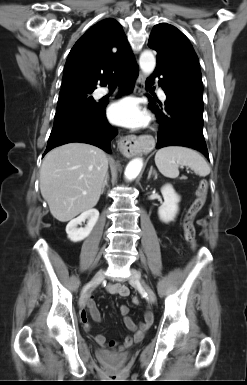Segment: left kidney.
I'll return each mask as SVG.
<instances>
[{
  "label": "left kidney",
  "mask_w": 247,
  "mask_h": 385,
  "mask_svg": "<svg viewBox=\"0 0 247 385\" xmlns=\"http://www.w3.org/2000/svg\"><path fill=\"white\" fill-rule=\"evenodd\" d=\"M161 193L164 198L163 204L158 209V215L162 222L169 223L174 221L179 207L180 196L175 192L170 184L161 188Z\"/></svg>",
  "instance_id": "5707ae66"
}]
</instances>
